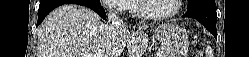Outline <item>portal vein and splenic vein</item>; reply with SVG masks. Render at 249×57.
Returning <instances> with one entry per match:
<instances>
[{
    "label": "portal vein and splenic vein",
    "mask_w": 249,
    "mask_h": 57,
    "mask_svg": "<svg viewBox=\"0 0 249 57\" xmlns=\"http://www.w3.org/2000/svg\"><path fill=\"white\" fill-rule=\"evenodd\" d=\"M86 57H99L98 55H85Z\"/></svg>",
    "instance_id": "18ae733b"
}]
</instances>
